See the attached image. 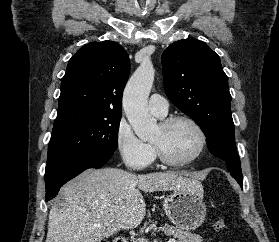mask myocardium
<instances>
[{
    "mask_svg": "<svg viewBox=\"0 0 279 242\" xmlns=\"http://www.w3.org/2000/svg\"><path fill=\"white\" fill-rule=\"evenodd\" d=\"M187 122L189 123L197 132L198 137H199V144L192 156H190L187 159L184 160H175L166 155L162 147L156 143L152 142V146L155 150V153L159 160L164 163L165 165L171 166V167H182V166H187L196 161L203 153V151L206 148L207 144V135L203 129V127L200 125V123L195 120L194 118L188 116V115H172L167 118H164L160 123L159 127L162 130H166L169 127H171L174 123L176 122Z\"/></svg>",
    "mask_w": 279,
    "mask_h": 242,
    "instance_id": "myocardium-1",
    "label": "myocardium"
}]
</instances>
